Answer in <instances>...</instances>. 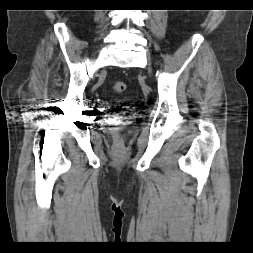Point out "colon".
Instances as JSON below:
<instances>
[{
	"mask_svg": "<svg viewBox=\"0 0 253 253\" xmlns=\"http://www.w3.org/2000/svg\"><path fill=\"white\" fill-rule=\"evenodd\" d=\"M125 89H126V85L122 81H117L112 86L113 92H116V93H123Z\"/></svg>",
	"mask_w": 253,
	"mask_h": 253,
	"instance_id": "5ec220e1",
	"label": "colon"
}]
</instances>
